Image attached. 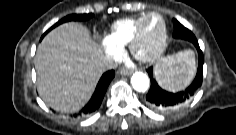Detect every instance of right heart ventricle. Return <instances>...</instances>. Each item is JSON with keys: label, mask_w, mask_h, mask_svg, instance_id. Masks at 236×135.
Returning <instances> with one entry per match:
<instances>
[{"label": "right heart ventricle", "mask_w": 236, "mask_h": 135, "mask_svg": "<svg viewBox=\"0 0 236 135\" xmlns=\"http://www.w3.org/2000/svg\"><path fill=\"white\" fill-rule=\"evenodd\" d=\"M146 14L136 17H129L115 21L109 29L108 39L115 46L122 48L128 45L132 39L135 30Z\"/></svg>", "instance_id": "e07e8e85"}]
</instances>
